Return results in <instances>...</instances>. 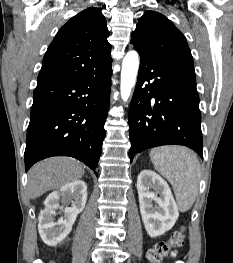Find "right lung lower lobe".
I'll use <instances>...</instances> for the list:
<instances>
[{
  "label": "right lung lower lobe",
  "mask_w": 233,
  "mask_h": 263,
  "mask_svg": "<svg viewBox=\"0 0 233 263\" xmlns=\"http://www.w3.org/2000/svg\"><path fill=\"white\" fill-rule=\"evenodd\" d=\"M111 63L82 79L35 88L27 129L26 171L39 160L65 155L97 174L109 108Z\"/></svg>",
  "instance_id": "98d812e1"
}]
</instances>
